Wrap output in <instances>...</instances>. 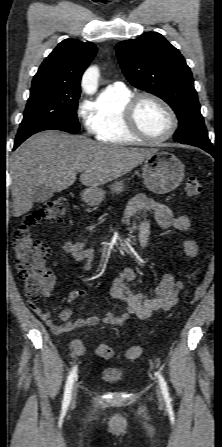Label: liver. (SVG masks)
<instances>
[{"label": "liver", "instance_id": "1", "mask_svg": "<svg viewBox=\"0 0 222 447\" xmlns=\"http://www.w3.org/2000/svg\"><path fill=\"white\" fill-rule=\"evenodd\" d=\"M155 149L97 143L60 131H43L27 139L14 152L11 164L13 216L33 207L35 191L45 186L53 192L76 181L97 187L125 175Z\"/></svg>", "mask_w": 222, "mask_h": 447}]
</instances>
